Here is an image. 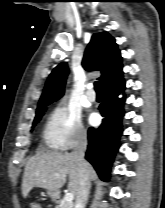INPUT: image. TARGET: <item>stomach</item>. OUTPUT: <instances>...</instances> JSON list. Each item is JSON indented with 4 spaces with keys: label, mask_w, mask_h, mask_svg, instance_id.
<instances>
[{
    "label": "stomach",
    "mask_w": 165,
    "mask_h": 208,
    "mask_svg": "<svg viewBox=\"0 0 165 208\" xmlns=\"http://www.w3.org/2000/svg\"><path fill=\"white\" fill-rule=\"evenodd\" d=\"M48 195L52 200H56L59 197V193L56 191H48Z\"/></svg>",
    "instance_id": "1"
}]
</instances>
